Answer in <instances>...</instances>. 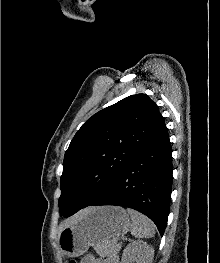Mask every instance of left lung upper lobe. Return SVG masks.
Returning a JSON list of instances; mask_svg holds the SVG:
<instances>
[{"mask_svg":"<svg viewBox=\"0 0 220 263\" xmlns=\"http://www.w3.org/2000/svg\"><path fill=\"white\" fill-rule=\"evenodd\" d=\"M163 124L158 106L145 94L128 96L89 118L65 153L61 215L73 214L101 195Z\"/></svg>","mask_w":220,"mask_h":263,"instance_id":"obj_1","label":"left lung upper lobe"}]
</instances>
